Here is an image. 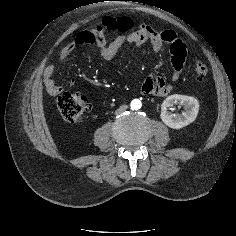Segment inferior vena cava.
Here are the masks:
<instances>
[{
  "label": "inferior vena cava",
  "instance_id": "inferior-vena-cava-1",
  "mask_svg": "<svg viewBox=\"0 0 236 236\" xmlns=\"http://www.w3.org/2000/svg\"><path fill=\"white\" fill-rule=\"evenodd\" d=\"M127 108H128L127 105H121V106L116 110V113H117V114H120V113L126 111Z\"/></svg>",
  "mask_w": 236,
  "mask_h": 236
}]
</instances>
